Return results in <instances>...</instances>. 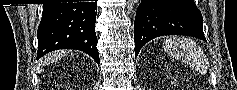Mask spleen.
Here are the masks:
<instances>
[{"mask_svg": "<svg viewBox=\"0 0 237 90\" xmlns=\"http://www.w3.org/2000/svg\"><path fill=\"white\" fill-rule=\"evenodd\" d=\"M164 50L169 56L189 62L191 66H199L205 60V56H203V52L201 48H198L196 42H193L190 38H182V36L181 38L172 36V38L166 40Z\"/></svg>", "mask_w": 237, "mask_h": 90, "instance_id": "3e777b00", "label": "spleen"}]
</instances>
